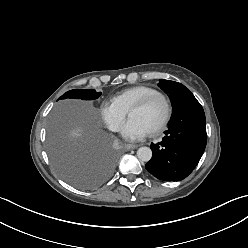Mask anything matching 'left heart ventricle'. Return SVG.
<instances>
[{"label": "left heart ventricle", "instance_id": "b2bd125f", "mask_svg": "<svg viewBox=\"0 0 248 248\" xmlns=\"http://www.w3.org/2000/svg\"><path fill=\"white\" fill-rule=\"evenodd\" d=\"M163 114L164 105L160 100H156L144 109L132 111L129 117L139 121L149 131L161 121Z\"/></svg>", "mask_w": 248, "mask_h": 248}]
</instances>
